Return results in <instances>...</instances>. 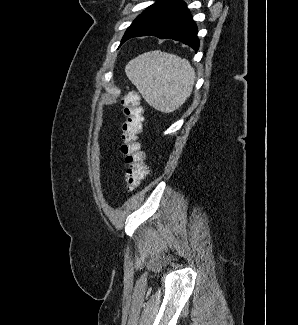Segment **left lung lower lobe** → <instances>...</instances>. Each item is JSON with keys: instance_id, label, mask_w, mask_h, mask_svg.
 <instances>
[{"instance_id": "obj_1", "label": "left lung lower lobe", "mask_w": 298, "mask_h": 325, "mask_svg": "<svg viewBox=\"0 0 298 325\" xmlns=\"http://www.w3.org/2000/svg\"><path fill=\"white\" fill-rule=\"evenodd\" d=\"M148 35L181 41L196 51L199 48L196 24L181 0H161L137 22L121 44L132 37Z\"/></svg>"}]
</instances>
